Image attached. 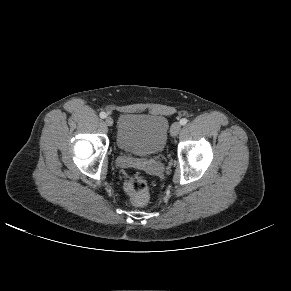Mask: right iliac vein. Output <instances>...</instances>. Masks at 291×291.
Segmentation results:
<instances>
[{"label": "right iliac vein", "mask_w": 291, "mask_h": 291, "mask_svg": "<svg viewBox=\"0 0 291 291\" xmlns=\"http://www.w3.org/2000/svg\"><path fill=\"white\" fill-rule=\"evenodd\" d=\"M105 123L107 126H112L113 125V119L111 117H106Z\"/></svg>", "instance_id": "63e3f726"}]
</instances>
